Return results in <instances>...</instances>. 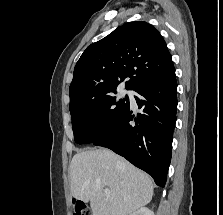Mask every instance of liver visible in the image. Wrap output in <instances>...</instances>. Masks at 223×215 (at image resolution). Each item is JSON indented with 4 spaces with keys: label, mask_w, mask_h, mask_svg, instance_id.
<instances>
[{
    "label": "liver",
    "mask_w": 223,
    "mask_h": 215,
    "mask_svg": "<svg viewBox=\"0 0 223 215\" xmlns=\"http://www.w3.org/2000/svg\"><path fill=\"white\" fill-rule=\"evenodd\" d=\"M70 185L73 197L90 201L92 215H128L153 195L150 175L105 147L73 155ZM103 187L110 189V197Z\"/></svg>",
    "instance_id": "6515ba94"
}]
</instances>
